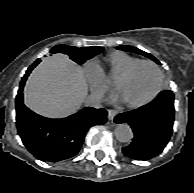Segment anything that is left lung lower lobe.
I'll list each match as a JSON object with an SVG mask.
<instances>
[{
  "instance_id": "left-lung-lower-lobe-1",
  "label": "left lung lower lobe",
  "mask_w": 194,
  "mask_h": 193,
  "mask_svg": "<svg viewBox=\"0 0 194 193\" xmlns=\"http://www.w3.org/2000/svg\"><path fill=\"white\" fill-rule=\"evenodd\" d=\"M174 115V94L168 90L147 105L118 114L115 123L129 124L134 133L132 142L122 148L124 155L148 160L160 154L171 138Z\"/></svg>"
}]
</instances>
